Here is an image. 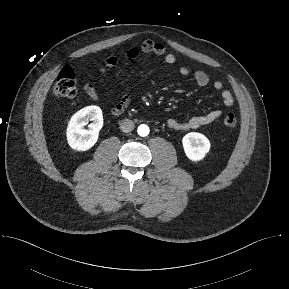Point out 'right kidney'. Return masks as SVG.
<instances>
[{
  "label": "right kidney",
  "mask_w": 289,
  "mask_h": 289,
  "mask_svg": "<svg viewBox=\"0 0 289 289\" xmlns=\"http://www.w3.org/2000/svg\"><path fill=\"white\" fill-rule=\"evenodd\" d=\"M92 123L85 129L87 122ZM103 126L102 110L98 106H87L76 112L67 127V141L70 147L77 151H87L92 148Z\"/></svg>",
  "instance_id": "right-kidney-1"
}]
</instances>
